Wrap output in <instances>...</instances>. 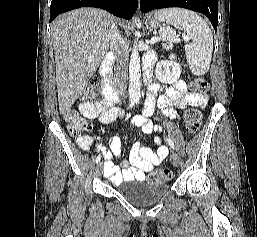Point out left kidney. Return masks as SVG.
Listing matches in <instances>:
<instances>
[{
  "label": "left kidney",
  "instance_id": "5707ae66",
  "mask_svg": "<svg viewBox=\"0 0 257 237\" xmlns=\"http://www.w3.org/2000/svg\"><path fill=\"white\" fill-rule=\"evenodd\" d=\"M155 74L161 83L172 84L180 77L181 68L176 61L162 60L157 63Z\"/></svg>",
  "mask_w": 257,
  "mask_h": 237
}]
</instances>
